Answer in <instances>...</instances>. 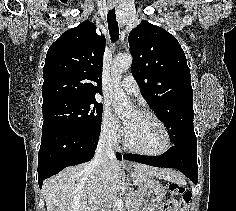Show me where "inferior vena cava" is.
Returning a JSON list of instances; mask_svg holds the SVG:
<instances>
[{
  "label": "inferior vena cava",
  "instance_id": "inferior-vena-cava-1",
  "mask_svg": "<svg viewBox=\"0 0 236 211\" xmlns=\"http://www.w3.org/2000/svg\"><path fill=\"white\" fill-rule=\"evenodd\" d=\"M113 160H115L113 138L108 134H102L98 142L94 159L90 163V167H105Z\"/></svg>",
  "mask_w": 236,
  "mask_h": 211
}]
</instances>
